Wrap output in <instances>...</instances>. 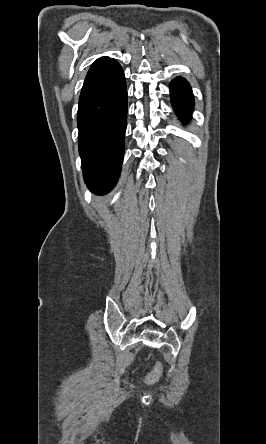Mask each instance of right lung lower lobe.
<instances>
[{"label":"right lung lower lobe","mask_w":266,"mask_h":444,"mask_svg":"<svg viewBox=\"0 0 266 444\" xmlns=\"http://www.w3.org/2000/svg\"><path fill=\"white\" fill-rule=\"evenodd\" d=\"M127 89L122 68L110 59L86 76L77 113L84 180L96 194L116 184L123 162Z\"/></svg>","instance_id":"right-lung-lower-lobe-1"}]
</instances>
